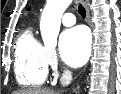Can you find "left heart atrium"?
Wrapping results in <instances>:
<instances>
[{
	"instance_id": "obj_1",
	"label": "left heart atrium",
	"mask_w": 121,
	"mask_h": 94,
	"mask_svg": "<svg viewBox=\"0 0 121 94\" xmlns=\"http://www.w3.org/2000/svg\"><path fill=\"white\" fill-rule=\"evenodd\" d=\"M59 46L62 59L72 67H80L90 54L89 33L82 26L68 29L62 33Z\"/></svg>"
}]
</instances>
